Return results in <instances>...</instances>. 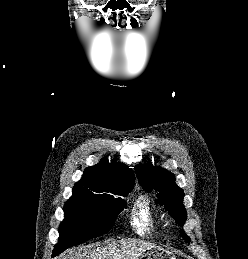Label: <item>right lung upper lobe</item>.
<instances>
[{
  "mask_svg": "<svg viewBox=\"0 0 248 259\" xmlns=\"http://www.w3.org/2000/svg\"><path fill=\"white\" fill-rule=\"evenodd\" d=\"M134 181V173L126 165L102 160L85 169L81 180L73 187V191L112 194L132 190Z\"/></svg>",
  "mask_w": 248,
  "mask_h": 259,
  "instance_id": "1",
  "label": "right lung upper lobe"
}]
</instances>
